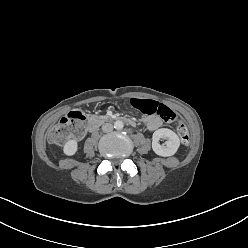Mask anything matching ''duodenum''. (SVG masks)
<instances>
[{
	"label": "duodenum",
	"mask_w": 248,
	"mask_h": 248,
	"mask_svg": "<svg viewBox=\"0 0 248 248\" xmlns=\"http://www.w3.org/2000/svg\"><path fill=\"white\" fill-rule=\"evenodd\" d=\"M105 120H107V118H104V119H93L91 121H89L88 123V130L89 131H94L97 129V127L102 123L104 122ZM122 120L124 122H126L127 124L131 125V126H134L135 125V121L133 119H130V118H122Z\"/></svg>",
	"instance_id": "obj_1"
}]
</instances>
